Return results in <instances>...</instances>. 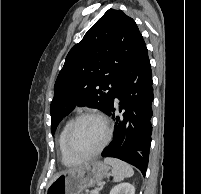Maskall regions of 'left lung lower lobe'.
<instances>
[{
	"label": "left lung lower lobe",
	"instance_id": "1",
	"mask_svg": "<svg viewBox=\"0 0 201 194\" xmlns=\"http://www.w3.org/2000/svg\"><path fill=\"white\" fill-rule=\"evenodd\" d=\"M153 81L148 50L141 45L121 80L115 98L119 99L121 117L115 115L114 100L107 114L114 119V139L103 157L121 159L137 167L145 176L149 161L153 115Z\"/></svg>",
	"mask_w": 201,
	"mask_h": 194
}]
</instances>
